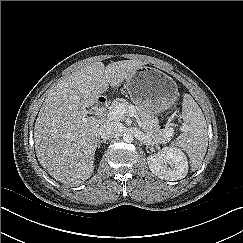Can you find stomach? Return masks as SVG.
Instances as JSON below:
<instances>
[{
    "mask_svg": "<svg viewBox=\"0 0 243 243\" xmlns=\"http://www.w3.org/2000/svg\"><path fill=\"white\" fill-rule=\"evenodd\" d=\"M132 102L154 114L170 108L177 100L178 89L171 77L162 71L141 66L125 82Z\"/></svg>",
    "mask_w": 243,
    "mask_h": 243,
    "instance_id": "0dacf381",
    "label": "stomach"
}]
</instances>
